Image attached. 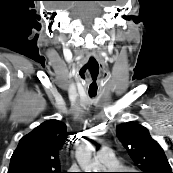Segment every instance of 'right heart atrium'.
Here are the masks:
<instances>
[{"instance_id": "1", "label": "right heart atrium", "mask_w": 173, "mask_h": 173, "mask_svg": "<svg viewBox=\"0 0 173 173\" xmlns=\"http://www.w3.org/2000/svg\"><path fill=\"white\" fill-rule=\"evenodd\" d=\"M72 169H77V167H72Z\"/></svg>"}]
</instances>
